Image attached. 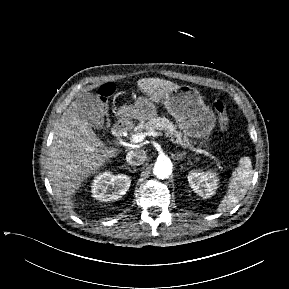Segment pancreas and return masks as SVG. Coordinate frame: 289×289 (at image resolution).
Masks as SVG:
<instances>
[{"instance_id": "1", "label": "pancreas", "mask_w": 289, "mask_h": 289, "mask_svg": "<svg viewBox=\"0 0 289 289\" xmlns=\"http://www.w3.org/2000/svg\"><path fill=\"white\" fill-rule=\"evenodd\" d=\"M144 130L148 132L163 130L167 135L175 137L178 143L185 144V142L188 141L186 137L182 138V133L177 131L176 125H174L173 122L169 121L165 117H152L149 119V121H142L134 128L135 134H138Z\"/></svg>"}]
</instances>
